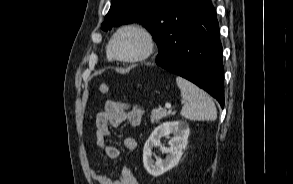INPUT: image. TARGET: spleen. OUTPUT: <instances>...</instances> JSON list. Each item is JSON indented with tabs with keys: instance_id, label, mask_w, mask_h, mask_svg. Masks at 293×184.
<instances>
[{
	"instance_id": "spleen-1",
	"label": "spleen",
	"mask_w": 293,
	"mask_h": 184,
	"mask_svg": "<svg viewBox=\"0 0 293 184\" xmlns=\"http://www.w3.org/2000/svg\"><path fill=\"white\" fill-rule=\"evenodd\" d=\"M176 83L184 101L181 109V115L184 118L198 121L216 120L215 104L205 91L182 77H176Z\"/></svg>"
}]
</instances>
